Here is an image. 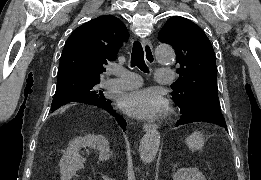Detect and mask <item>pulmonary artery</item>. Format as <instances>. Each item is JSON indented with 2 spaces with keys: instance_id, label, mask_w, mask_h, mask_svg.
I'll return each mask as SVG.
<instances>
[{
  "instance_id": "1",
  "label": "pulmonary artery",
  "mask_w": 261,
  "mask_h": 180,
  "mask_svg": "<svg viewBox=\"0 0 261 180\" xmlns=\"http://www.w3.org/2000/svg\"><path fill=\"white\" fill-rule=\"evenodd\" d=\"M116 78L106 81V85L114 89L141 88L140 77L124 68L110 69ZM157 77H175V72H169V67H156ZM159 83H174V78H159Z\"/></svg>"
}]
</instances>
